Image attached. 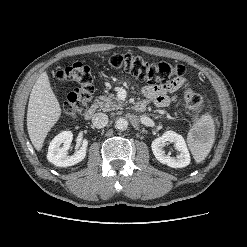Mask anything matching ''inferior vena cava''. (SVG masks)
Returning a JSON list of instances; mask_svg holds the SVG:
<instances>
[{
	"instance_id": "inferior-vena-cava-1",
	"label": "inferior vena cava",
	"mask_w": 247,
	"mask_h": 247,
	"mask_svg": "<svg viewBox=\"0 0 247 247\" xmlns=\"http://www.w3.org/2000/svg\"><path fill=\"white\" fill-rule=\"evenodd\" d=\"M92 123L97 128H103L108 124V116L105 113H96L92 118Z\"/></svg>"
}]
</instances>
